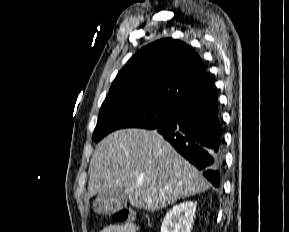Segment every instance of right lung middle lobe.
Listing matches in <instances>:
<instances>
[{
    "label": "right lung middle lobe",
    "mask_w": 289,
    "mask_h": 232,
    "mask_svg": "<svg viewBox=\"0 0 289 232\" xmlns=\"http://www.w3.org/2000/svg\"><path fill=\"white\" fill-rule=\"evenodd\" d=\"M178 108L141 96L114 97L103 102L92 139L100 141L121 128L155 129L173 120Z\"/></svg>",
    "instance_id": "1"
}]
</instances>
